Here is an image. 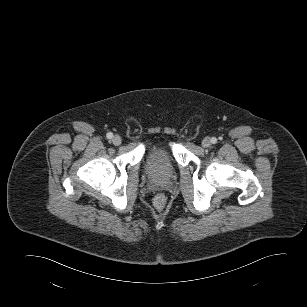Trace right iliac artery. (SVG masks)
I'll return each instance as SVG.
<instances>
[{"label": "right iliac artery", "mask_w": 307, "mask_h": 307, "mask_svg": "<svg viewBox=\"0 0 307 307\" xmlns=\"http://www.w3.org/2000/svg\"><path fill=\"white\" fill-rule=\"evenodd\" d=\"M106 137H107L108 139H111V138L113 137V134H112L111 132H108L107 135H106Z\"/></svg>", "instance_id": "1"}]
</instances>
